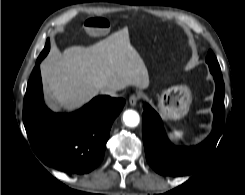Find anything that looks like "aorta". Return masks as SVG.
<instances>
[{
  "label": "aorta",
  "mask_w": 245,
  "mask_h": 195,
  "mask_svg": "<svg viewBox=\"0 0 245 195\" xmlns=\"http://www.w3.org/2000/svg\"><path fill=\"white\" fill-rule=\"evenodd\" d=\"M123 121L128 127H136L139 124V114L134 110H126L123 114Z\"/></svg>",
  "instance_id": "obj_1"
}]
</instances>
